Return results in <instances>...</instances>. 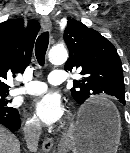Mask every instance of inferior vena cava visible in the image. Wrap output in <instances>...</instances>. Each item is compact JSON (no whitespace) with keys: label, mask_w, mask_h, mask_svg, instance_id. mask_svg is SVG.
<instances>
[{"label":"inferior vena cava","mask_w":130,"mask_h":153,"mask_svg":"<svg viewBox=\"0 0 130 153\" xmlns=\"http://www.w3.org/2000/svg\"><path fill=\"white\" fill-rule=\"evenodd\" d=\"M26 143L31 151H36L38 141L42 132L40 122L26 124L23 128Z\"/></svg>","instance_id":"602c4592"}]
</instances>
